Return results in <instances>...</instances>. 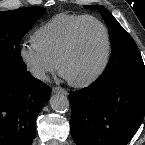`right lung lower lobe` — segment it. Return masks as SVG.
<instances>
[{"label":"right lung lower lobe","mask_w":145,"mask_h":145,"mask_svg":"<svg viewBox=\"0 0 145 145\" xmlns=\"http://www.w3.org/2000/svg\"><path fill=\"white\" fill-rule=\"evenodd\" d=\"M49 98V87L28 71L0 80V145H31L36 117Z\"/></svg>","instance_id":"98d812e1"}]
</instances>
